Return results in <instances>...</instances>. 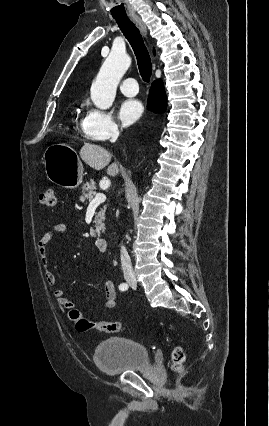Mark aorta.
Instances as JSON below:
<instances>
[{
  "label": "aorta",
  "instance_id": "obj_1",
  "mask_svg": "<svg viewBox=\"0 0 269 426\" xmlns=\"http://www.w3.org/2000/svg\"><path fill=\"white\" fill-rule=\"evenodd\" d=\"M130 65L131 58L124 51H111L91 86V99L96 107H111L118 83Z\"/></svg>",
  "mask_w": 269,
  "mask_h": 426
}]
</instances>
